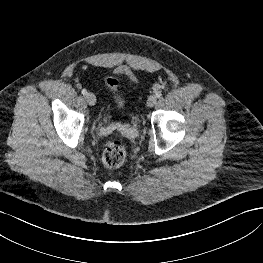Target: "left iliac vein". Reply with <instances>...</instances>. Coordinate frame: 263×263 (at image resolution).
<instances>
[{"mask_svg": "<svg viewBox=\"0 0 263 263\" xmlns=\"http://www.w3.org/2000/svg\"><path fill=\"white\" fill-rule=\"evenodd\" d=\"M157 97L155 95H151L147 100V106L153 107L156 104Z\"/></svg>", "mask_w": 263, "mask_h": 263, "instance_id": "4c4485c4", "label": "left iliac vein"}]
</instances>
